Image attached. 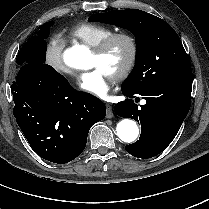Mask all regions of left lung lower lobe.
Here are the masks:
<instances>
[{
  "label": "left lung lower lobe",
  "instance_id": "1",
  "mask_svg": "<svg viewBox=\"0 0 209 209\" xmlns=\"http://www.w3.org/2000/svg\"><path fill=\"white\" fill-rule=\"evenodd\" d=\"M192 80L172 83H158L141 90L122 88L126 97L146 100L141 108L132 99L117 103L115 113L128 117L141 124L139 140L127 145L131 155L147 159L165 150L175 138L188 114L191 104Z\"/></svg>",
  "mask_w": 209,
  "mask_h": 209
}]
</instances>
